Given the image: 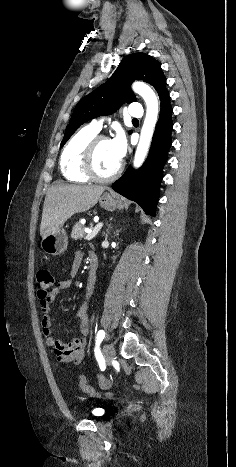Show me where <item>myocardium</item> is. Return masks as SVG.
I'll return each mask as SVG.
<instances>
[{
    "mask_svg": "<svg viewBox=\"0 0 236 467\" xmlns=\"http://www.w3.org/2000/svg\"><path fill=\"white\" fill-rule=\"evenodd\" d=\"M109 140L108 137L104 135H96L93 137L90 142L87 144L83 151V158H82V169L83 172L92 180L98 182H109L117 178L120 173L122 172L123 165L120 162L117 168L109 175L102 176L100 175L96 169L94 164L95 154L97 147L101 141Z\"/></svg>",
    "mask_w": 236,
    "mask_h": 467,
    "instance_id": "1",
    "label": "myocardium"
}]
</instances>
